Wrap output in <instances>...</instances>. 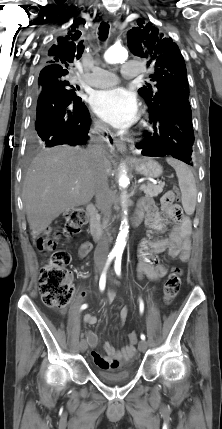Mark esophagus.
Here are the masks:
<instances>
[{
    "instance_id": "esophagus-1",
    "label": "esophagus",
    "mask_w": 222,
    "mask_h": 429,
    "mask_svg": "<svg viewBox=\"0 0 222 429\" xmlns=\"http://www.w3.org/2000/svg\"><path fill=\"white\" fill-rule=\"evenodd\" d=\"M103 20H105V21L108 20V16H104ZM113 141H114V145L116 146L118 151H120L123 154H125L127 152L126 144L122 140H120L118 138H114Z\"/></svg>"
}]
</instances>
